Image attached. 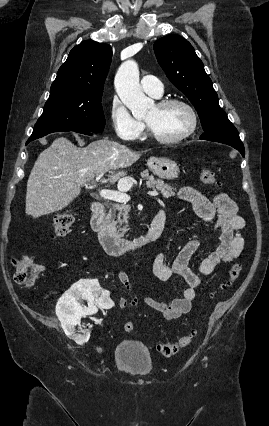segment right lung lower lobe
Returning a JSON list of instances; mask_svg holds the SVG:
<instances>
[{"mask_svg":"<svg viewBox=\"0 0 269 426\" xmlns=\"http://www.w3.org/2000/svg\"><path fill=\"white\" fill-rule=\"evenodd\" d=\"M76 132L87 134V135L91 134L89 131H86V130H81V131H76ZM28 142H30V140H28Z\"/></svg>","mask_w":269,"mask_h":426,"instance_id":"right-lung-lower-lobe-1","label":"right lung lower lobe"}]
</instances>
